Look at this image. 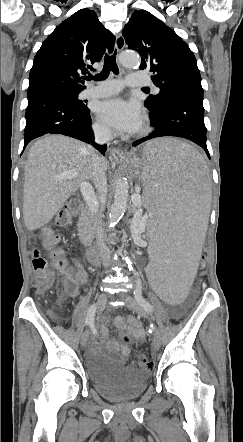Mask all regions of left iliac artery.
<instances>
[{
    "instance_id": "obj_1",
    "label": "left iliac artery",
    "mask_w": 243,
    "mask_h": 442,
    "mask_svg": "<svg viewBox=\"0 0 243 442\" xmlns=\"http://www.w3.org/2000/svg\"><path fill=\"white\" fill-rule=\"evenodd\" d=\"M134 296L138 304L148 313L153 312V306L143 297L142 291H141V285L140 283L136 284ZM155 326L151 324L149 332L152 333L155 330Z\"/></svg>"
}]
</instances>
